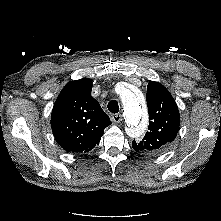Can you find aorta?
<instances>
[{"label": "aorta", "instance_id": "obj_1", "mask_svg": "<svg viewBox=\"0 0 221 221\" xmlns=\"http://www.w3.org/2000/svg\"><path fill=\"white\" fill-rule=\"evenodd\" d=\"M120 100L126 123V131L131 137H140L147 128L148 114L145 105L129 89L120 93Z\"/></svg>", "mask_w": 221, "mask_h": 221}]
</instances>
